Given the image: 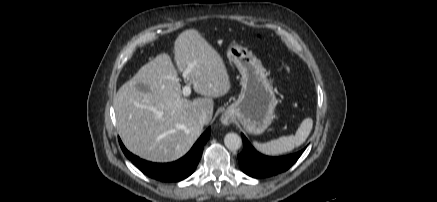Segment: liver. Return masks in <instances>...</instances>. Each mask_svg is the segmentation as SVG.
<instances>
[{"label": "liver", "instance_id": "1", "mask_svg": "<svg viewBox=\"0 0 437 202\" xmlns=\"http://www.w3.org/2000/svg\"><path fill=\"white\" fill-rule=\"evenodd\" d=\"M174 60L179 72L196 93L204 96L193 101L182 97L168 54L157 55L124 83L114 99L117 131L133 154L152 162H170L185 155L203 130L201 113L209 121L213 98L230 90L226 66L219 53L196 29L183 31L174 43ZM144 83L149 92L136 85Z\"/></svg>", "mask_w": 437, "mask_h": 202}]
</instances>
